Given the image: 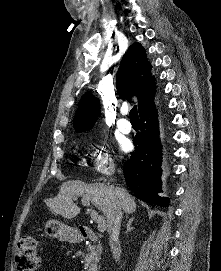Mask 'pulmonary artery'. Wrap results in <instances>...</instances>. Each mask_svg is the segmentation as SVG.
<instances>
[{
  "mask_svg": "<svg viewBox=\"0 0 221 271\" xmlns=\"http://www.w3.org/2000/svg\"><path fill=\"white\" fill-rule=\"evenodd\" d=\"M119 116H122V113H119ZM115 126H118V128L125 134H128L131 129L130 128H124L123 126H129V121H127L126 117H119L118 121H115Z\"/></svg>",
  "mask_w": 221,
  "mask_h": 271,
  "instance_id": "1",
  "label": "pulmonary artery"
}]
</instances>
